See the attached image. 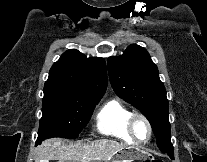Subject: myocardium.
Here are the masks:
<instances>
[{
  "instance_id": "f54148a6",
  "label": "myocardium",
  "mask_w": 207,
  "mask_h": 162,
  "mask_svg": "<svg viewBox=\"0 0 207 162\" xmlns=\"http://www.w3.org/2000/svg\"><path fill=\"white\" fill-rule=\"evenodd\" d=\"M138 119H141L142 121H144V123L147 126L148 136L145 140H139L135 136L134 124H135V121L138 120ZM127 131H128L129 136L131 137V139L136 143H146L152 137V125H151L150 121L148 120V118L145 115L141 114V113H133L130 116V118L128 119V122H127Z\"/></svg>"
}]
</instances>
